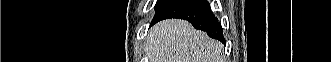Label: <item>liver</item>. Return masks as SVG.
Returning <instances> with one entry per match:
<instances>
[{"instance_id":"1","label":"liver","mask_w":331,"mask_h":62,"mask_svg":"<svg viewBox=\"0 0 331 62\" xmlns=\"http://www.w3.org/2000/svg\"><path fill=\"white\" fill-rule=\"evenodd\" d=\"M150 62H222L223 45L179 19L155 25L148 37Z\"/></svg>"}]
</instances>
